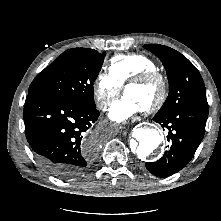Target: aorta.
Masks as SVG:
<instances>
[{"mask_svg":"<svg viewBox=\"0 0 221 221\" xmlns=\"http://www.w3.org/2000/svg\"><path fill=\"white\" fill-rule=\"evenodd\" d=\"M137 145L133 148L136 155L143 159L152 153L162 142V137L156 129L140 128L134 133Z\"/></svg>","mask_w":221,"mask_h":221,"instance_id":"1","label":"aorta"}]
</instances>
